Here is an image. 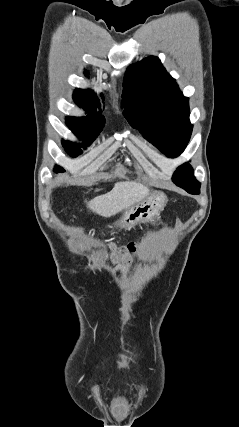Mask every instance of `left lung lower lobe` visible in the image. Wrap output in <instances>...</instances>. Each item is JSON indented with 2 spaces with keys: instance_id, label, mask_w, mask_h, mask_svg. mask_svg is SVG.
Listing matches in <instances>:
<instances>
[{
  "instance_id": "obj_1",
  "label": "left lung lower lobe",
  "mask_w": 239,
  "mask_h": 427,
  "mask_svg": "<svg viewBox=\"0 0 239 427\" xmlns=\"http://www.w3.org/2000/svg\"><path fill=\"white\" fill-rule=\"evenodd\" d=\"M184 189V188H183ZM200 188H196V189H192V188H190V189H184V190H186L188 193H190V194H193V195H196V194H199L200 193V190H199Z\"/></svg>"
}]
</instances>
